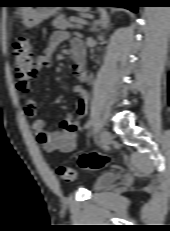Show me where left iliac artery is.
I'll return each instance as SVG.
<instances>
[{
	"mask_svg": "<svg viewBox=\"0 0 170 231\" xmlns=\"http://www.w3.org/2000/svg\"><path fill=\"white\" fill-rule=\"evenodd\" d=\"M91 125H92V123H91V122H89L88 124H86V126H85V127L87 128V127H89V126H91Z\"/></svg>",
	"mask_w": 170,
	"mask_h": 231,
	"instance_id": "44dca946",
	"label": "left iliac artery"
}]
</instances>
